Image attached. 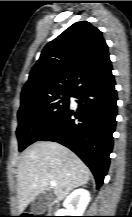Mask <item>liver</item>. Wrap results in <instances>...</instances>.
Wrapping results in <instances>:
<instances>
[{
	"instance_id": "liver-1",
	"label": "liver",
	"mask_w": 132,
	"mask_h": 217,
	"mask_svg": "<svg viewBox=\"0 0 132 217\" xmlns=\"http://www.w3.org/2000/svg\"><path fill=\"white\" fill-rule=\"evenodd\" d=\"M91 177L89 168L65 146L51 141H39L24 150L18 164V214L50 184L57 201L73 189L86 184Z\"/></svg>"
}]
</instances>
